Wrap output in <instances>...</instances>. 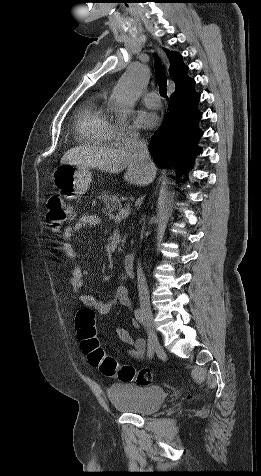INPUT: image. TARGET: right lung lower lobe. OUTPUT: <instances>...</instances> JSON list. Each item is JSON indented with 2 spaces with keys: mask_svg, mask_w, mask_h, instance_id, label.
<instances>
[{
  "mask_svg": "<svg viewBox=\"0 0 261 476\" xmlns=\"http://www.w3.org/2000/svg\"><path fill=\"white\" fill-rule=\"evenodd\" d=\"M195 82L188 78L175 89L169 102V111L160 128L151 139L149 150L161 166H176L186 173L196 154L203 132L198 127L202 113L198 110L200 95L194 91ZM181 176V175H180Z\"/></svg>",
  "mask_w": 261,
  "mask_h": 476,
  "instance_id": "obj_1",
  "label": "right lung lower lobe"
}]
</instances>
